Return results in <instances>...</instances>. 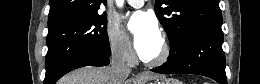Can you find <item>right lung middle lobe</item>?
Instances as JSON below:
<instances>
[{
    "instance_id": "dd1d6c3e",
    "label": "right lung middle lobe",
    "mask_w": 260,
    "mask_h": 84,
    "mask_svg": "<svg viewBox=\"0 0 260 84\" xmlns=\"http://www.w3.org/2000/svg\"><path fill=\"white\" fill-rule=\"evenodd\" d=\"M46 75L51 77L65 62L78 56L109 57L111 50L105 14L94 13L48 28Z\"/></svg>"
}]
</instances>
